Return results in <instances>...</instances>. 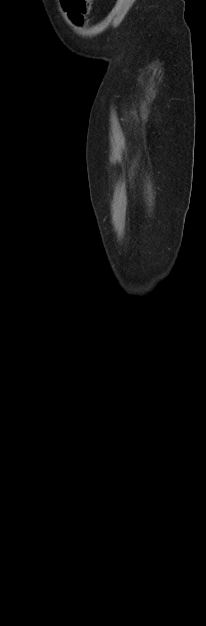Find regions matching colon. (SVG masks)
Returning a JSON list of instances; mask_svg holds the SVG:
<instances>
[{"mask_svg": "<svg viewBox=\"0 0 206 626\" xmlns=\"http://www.w3.org/2000/svg\"><path fill=\"white\" fill-rule=\"evenodd\" d=\"M61 2L74 23L82 25L85 22L92 0H61Z\"/></svg>", "mask_w": 206, "mask_h": 626, "instance_id": "obj_1", "label": "colon"}]
</instances>
